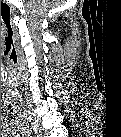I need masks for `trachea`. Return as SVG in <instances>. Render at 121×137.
Instances as JSON below:
<instances>
[{
	"mask_svg": "<svg viewBox=\"0 0 121 137\" xmlns=\"http://www.w3.org/2000/svg\"><path fill=\"white\" fill-rule=\"evenodd\" d=\"M2 27L6 35V40L11 49L10 61L11 63L17 60V43L15 29L10 13V8L7 5L1 6Z\"/></svg>",
	"mask_w": 121,
	"mask_h": 137,
	"instance_id": "obj_1",
	"label": "trachea"
}]
</instances>
